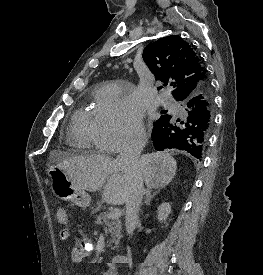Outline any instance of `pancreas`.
Here are the masks:
<instances>
[{
	"instance_id": "cf45deb5",
	"label": "pancreas",
	"mask_w": 263,
	"mask_h": 275,
	"mask_svg": "<svg viewBox=\"0 0 263 275\" xmlns=\"http://www.w3.org/2000/svg\"><path fill=\"white\" fill-rule=\"evenodd\" d=\"M110 213L104 212L96 217V224L104 225V232L110 235L109 244L117 245L121 239V221L119 219L109 218Z\"/></svg>"
}]
</instances>
